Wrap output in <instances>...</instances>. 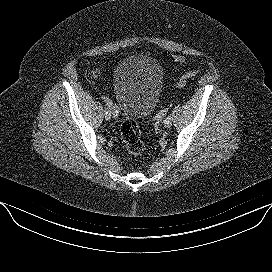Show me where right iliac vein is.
Wrapping results in <instances>:
<instances>
[{
	"instance_id": "obj_1",
	"label": "right iliac vein",
	"mask_w": 272,
	"mask_h": 272,
	"mask_svg": "<svg viewBox=\"0 0 272 272\" xmlns=\"http://www.w3.org/2000/svg\"><path fill=\"white\" fill-rule=\"evenodd\" d=\"M105 119L106 120H110L111 119V113L110 112H108V114L105 115Z\"/></svg>"
}]
</instances>
